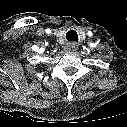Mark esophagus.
Listing matches in <instances>:
<instances>
[{"instance_id":"34e87169","label":"esophagus","mask_w":127,"mask_h":127,"mask_svg":"<svg viewBox=\"0 0 127 127\" xmlns=\"http://www.w3.org/2000/svg\"><path fill=\"white\" fill-rule=\"evenodd\" d=\"M77 48V45L75 43H68L66 46H65V51L67 52H73L75 51Z\"/></svg>"}]
</instances>
